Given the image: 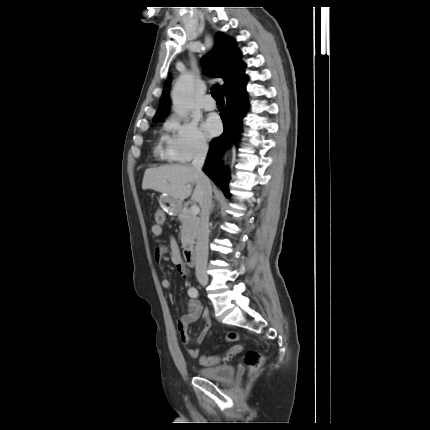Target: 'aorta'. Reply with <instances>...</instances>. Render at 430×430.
Wrapping results in <instances>:
<instances>
[{
  "instance_id": "aorta-1",
  "label": "aorta",
  "mask_w": 430,
  "mask_h": 430,
  "mask_svg": "<svg viewBox=\"0 0 430 430\" xmlns=\"http://www.w3.org/2000/svg\"><path fill=\"white\" fill-rule=\"evenodd\" d=\"M193 83L189 77L177 80L172 91L173 109L176 113H186L192 101Z\"/></svg>"
}]
</instances>
